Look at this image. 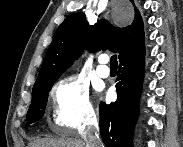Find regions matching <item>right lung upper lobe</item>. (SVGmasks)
<instances>
[{"label": "right lung upper lobe", "instance_id": "1", "mask_svg": "<svg viewBox=\"0 0 183 147\" xmlns=\"http://www.w3.org/2000/svg\"><path fill=\"white\" fill-rule=\"evenodd\" d=\"M88 47L91 52L109 49L119 60L144 50L143 22L136 10L132 24L119 28L107 20L89 26L84 13L69 16L57 29L33 91L54 84L59 76Z\"/></svg>", "mask_w": 183, "mask_h": 147}]
</instances>
